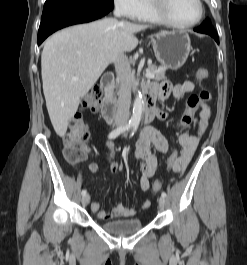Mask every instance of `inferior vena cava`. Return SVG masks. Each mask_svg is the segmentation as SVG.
<instances>
[{
	"instance_id": "602c4592",
	"label": "inferior vena cava",
	"mask_w": 247,
	"mask_h": 265,
	"mask_svg": "<svg viewBox=\"0 0 247 265\" xmlns=\"http://www.w3.org/2000/svg\"><path fill=\"white\" fill-rule=\"evenodd\" d=\"M114 15L116 17H121V12L119 11V9H115ZM114 64L116 73L121 81L115 123L116 125L121 126L125 125L129 119V110L131 104L129 62L126 55L121 54L117 57Z\"/></svg>"
}]
</instances>
